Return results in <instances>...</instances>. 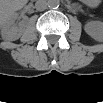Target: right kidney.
<instances>
[{"label": "right kidney", "instance_id": "obj_1", "mask_svg": "<svg viewBox=\"0 0 103 103\" xmlns=\"http://www.w3.org/2000/svg\"><path fill=\"white\" fill-rule=\"evenodd\" d=\"M17 18L16 13L5 18L4 14L1 13L0 30L1 36L4 40L14 41L17 40L21 34L20 27L15 24Z\"/></svg>", "mask_w": 103, "mask_h": 103}]
</instances>
